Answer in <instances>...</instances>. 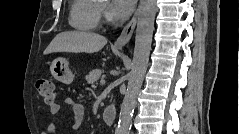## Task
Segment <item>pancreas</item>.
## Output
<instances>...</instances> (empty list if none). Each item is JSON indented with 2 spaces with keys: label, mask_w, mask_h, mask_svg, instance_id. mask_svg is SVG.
<instances>
[{
  "label": "pancreas",
  "mask_w": 239,
  "mask_h": 134,
  "mask_svg": "<svg viewBox=\"0 0 239 134\" xmlns=\"http://www.w3.org/2000/svg\"><path fill=\"white\" fill-rule=\"evenodd\" d=\"M102 71L100 69H95L89 72L88 75H86L85 80L88 84H94L101 76Z\"/></svg>",
  "instance_id": "cf45deb5"
}]
</instances>
